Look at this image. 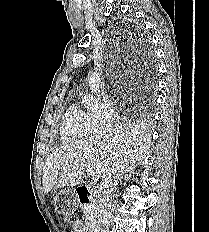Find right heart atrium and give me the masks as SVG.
Instances as JSON below:
<instances>
[{"mask_svg":"<svg viewBox=\"0 0 209 232\" xmlns=\"http://www.w3.org/2000/svg\"><path fill=\"white\" fill-rule=\"evenodd\" d=\"M87 114L93 132H102L117 120V112L107 96L91 97L87 104Z\"/></svg>","mask_w":209,"mask_h":232,"instance_id":"obj_1","label":"right heart atrium"}]
</instances>
